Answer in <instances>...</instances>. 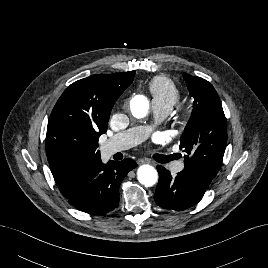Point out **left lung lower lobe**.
Listing matches in <instances>:
<instances>
[{
	"label": "left lung lower lobe",
	"instance_id": "obj_1",
	"mask_svg": "<svg viewBox=\"0 0 268 268\" xmlns=\"http://www.w3.org/2000/svg\"><path fill=\"white\" fill-rule=\"evenodd\" d=\"M159 182L154 199L162 208L183 210L194 206L203 197L209 184L195 175L181 171L173 178L168 170L157 166Z\"/></svg>",
	"mask_w": 268,
	"mask_h": 268
}]
</instances>
